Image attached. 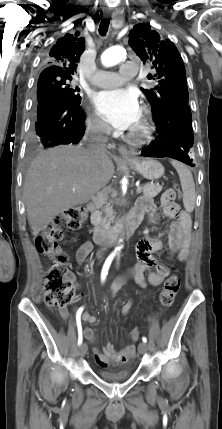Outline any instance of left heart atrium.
Here are the masks:
<instances>
[{
  "mask_svg": "<svg viewBox=\"0 0 222 429\" xmlns=\"http://www.w3.org/2000/svg\"><path fill=\"white\" fill-rule=\"evenodd\" d=\"M94 104L100 117L116 129L131 128L140 118L137 95L127 89L102 91L96 95Z\"/></svg>",
  "mask_w": 222,
  "mask_h": 429,
  "instance_id": "1",
  "label": "left heart atrium"
}]
</instances>
